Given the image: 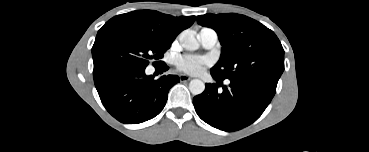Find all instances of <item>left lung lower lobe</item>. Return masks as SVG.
Returning <instances> with one entry per match:
<instances>
[{
    "label": "left lung lower lobe",
    "instance_id": "obj_1",
    "mask_svg": "<svg viewBox=\"0 0 369 152\" xmlns=\"http://www.w3.org/2000/svg\"><path fill=\"white\" fill-rule=\"evenodd\" d=\"M212 77L218 80L217 84H206L205 91L193 98V104L203 121L227 132L240 130L257 120L276 92L277 85L271 83L236 80H230L219 91L222 79Z\"/></svg>",
    "mask_w": 369,
    "mask_h": 152
}]
</instances>
